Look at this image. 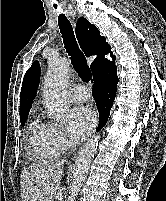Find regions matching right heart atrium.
<instances>
[{"label":"right heart atrium","mask_w":166,"mask_h":201,"mask_svg":"<svg viewBox=\"0 0 166 201\" xmlns=\"http://www.w3.org/2000/svg\"><path fill=\"white\" fill-rule=\"evenodd\" d=\"M52 138L58 151L65 152L73 146L67 129L59 124H52Z\"/></svg>","instance_id":"d8ad5b80"}]
</instances>
